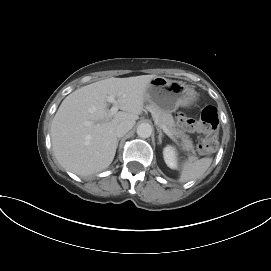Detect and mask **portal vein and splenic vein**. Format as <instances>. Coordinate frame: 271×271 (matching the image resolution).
Here are the masks:
<instances>
[{
  "mask_svg": "<svg viewBox=\"0 0 271 271\" xmlns=\"http://www.w3.org/2000/svg\"><path fill=\"white\" fill-rule=\"evenodd\" d=\"M107 101L113 104V106L109 110L110 116H113L119 109L118 105L116 104L115 96L114 95L107 96ZM162 129L163 132L166 133V135H168L171 139L176 141L173 135L169 132V130L165 126H163Z\"/></svg>",
  "mask_w": 271,
  "mask_h": 271,
  "instance_id": "1",
  "label": "portal vein and splenic vein"
}]
</instances>
